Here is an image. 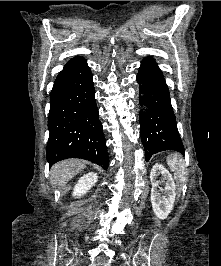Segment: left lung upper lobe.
Wrapping results in <instances>:
<instances>
[{
    "label": "left lung upper lobe",
    "instance_id": "left-lung-upper-lobe-1",
    "mask_svg": "<svg viewBox=\"0 0 221 266\" xmlns=\"http://www.w3.org/2000/svg\"><path fill=\"white\" fill-rule=\"evenodd\" d=\"M144 61H146V62H149V63L156 64V61H155V59H154V58H152V57H147V58H145V59H144Z\"/></svg>",
    "mask_w": 221,
    "mask_h": 266
}]
</instances>
